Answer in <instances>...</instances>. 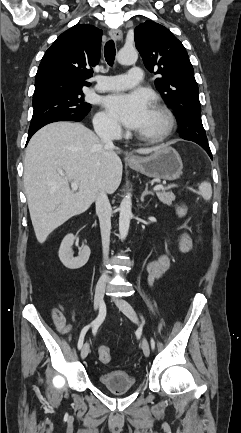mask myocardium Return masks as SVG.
<instances>
[{"instance_id": "myocardium-1", "label": "myocardium", "mask_w": 241, "mask_h": 433, "mask_svg": "<svg viewBox=\"0 0 241 433\" xmlns=\"http://www.w3.org/2000/svg\"><path fill=\"white\" fill-rule=\"evenodd\" d=\"M152 109L161 114L165 119L164 128L157 133L139 132L138 136L145 141L158 143L170 136L175 127V117L172 111L162 103H154Z\"/></svg>"}]
</instances>
